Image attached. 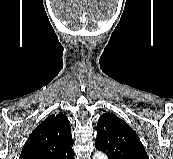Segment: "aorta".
I'll use <instances>...</instances> for the list:
<instances>
[{"mask_svg":"<svg viewBox=\"0 0 173 159\" xmlns=\"http://www.w3.org/2000/svg\"><path fill=\"white\" fill-rule=\"evenodd\" d=\"M93 159H108L107 155L103 152H96Z\"/></svg>","mask_w":173,"mask_h":159,"instance_id":"1","label":"aorta"}]
</instances>
